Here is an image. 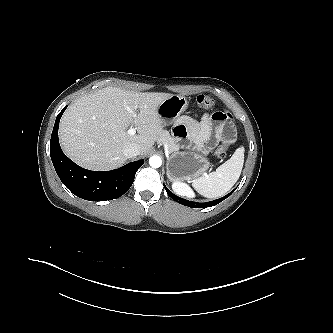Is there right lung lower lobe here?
<instances>
[{
	"label": "right lung lower lobe",
	"mask_w": 333,
	"mask_h": 333,
	"mask_svg": "<svg viewBox=\"0 0 333 333\" xmlns=\"http://www.w3.org/2000/svg\"><path fill=\"white\" fill-rule=\"evenodd\" d=\"M66 107L56 118L50 140V156L60 180L73 194L85 200L106 201L122 196L131 187L144 161H135L112 171H90L76 165L65 156L58 140V126Z\"/></svg>",
	"instance_id": "98d812e1"
}]
</instances>
